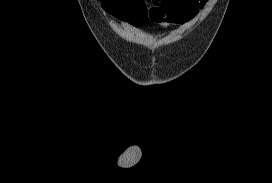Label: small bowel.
I'll use <instances>...</instances> for the list:
<instances>
[{
    "label": "small bowel",
    "instance_id": "small-bowel-1",
    "mask_svg": "<svg viewBox=\"0 0 272 183\" xmlns=\"http://www.w3.org/2000/svg\"><path fill=\"white\" fill-rule=\"evenodd\" d=\"M112 16L136 28L150 23L186 22L191 20L207 0H102Z\"/></svg>",
    "mask_w": 272,
    "mask_h": 183
}]
</instances>
